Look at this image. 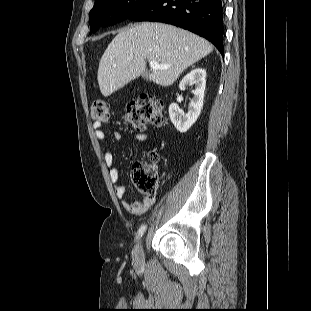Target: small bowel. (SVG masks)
<instances>
[{
	"instance_id": "1",
	"label": "small bowel",
	"mask_w": 311,
	"mask_h": 311,
	"mask_svg": "<svg viewBox=\"0 0 311 311\" xmlns=\"http://www.w3.org/2000/svg\"><path fill=\"white\" fill-rule=\"evenodd\" d=\"M92 128L94 131V136L97 140L102 141L105 139V133L102 130V125L100 122L95 121L92 124ZM114 139L116 141H120L122 139V134L120 132H115ZM147 139H148V136L146 133L139 132L135 134V140L139 143H144L147 141ZM103 157H104L105 166L108 169L109 178L111 182L114 183L115 194L119 199L122 200V205L125 208V210L135 216H141L145 214L155 203V198L151 196H146L141 200H135L133 202H128L124 200L125 188L122 184L118 182L119 171L117 167L114 166L113 154L109 151H106L104 152Z\"/></svg>"
}]
</instances>
